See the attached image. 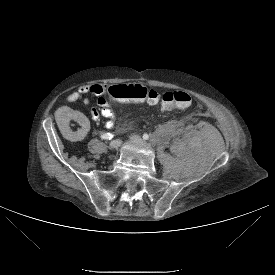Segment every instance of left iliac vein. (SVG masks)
Instances as JSON below:
<instances>
[{"label": "left iliac vein", "instance_id": "4c4485c4", "mask_svg": "<svg viewBox=\"0 0 275 275\" xmlns=\"http://www.w3.org/2000/svg\"><path fill=\"white\" fill-rule=\"evenodd\" d=\"M130 139H131L133 142H142V138H141L140 136H138V135H135V134L131 135V136H130Z\"/></svg>", "mask_w": 275, "mask_h": 275}]
</instances>
